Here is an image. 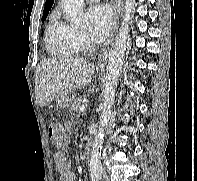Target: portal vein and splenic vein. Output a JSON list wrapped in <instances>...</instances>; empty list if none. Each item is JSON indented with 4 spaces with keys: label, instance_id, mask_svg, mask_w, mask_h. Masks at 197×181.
Instances as JSON below:
<instances>
[{
    "label": "portal vein and splenic vein",
    "instance_id": "18ae733b",
    "mask_svg": "<svg viewBox=\"0 0 197 181\" xmlns=\"http://www.w3.org/2000/svg\"><path fill=\"white\" fill-rule=\"evenodd\" d=\"M85 110H86L85 106H81V107L79 108V112H80V113L85 112Z\"/></svg>",
    "mask_w": 197,
    "mask_h": 181
}]
</instances>
